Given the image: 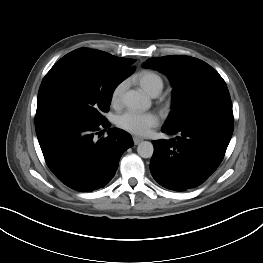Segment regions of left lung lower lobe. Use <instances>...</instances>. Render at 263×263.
Segmentation results:
<instances>
[{"label":"left lung lower lobe","instance_id":"obj_1","mask_svg":"<svg viewBox=\"0 0 263 263\" xmlns=\"http://www.w3.org/2000/svg\"><path fill=\"white\" fill-rule=\"evenodd\" d=\"M234 127L233 117L211 114L161 131L172 139L153 141L150 171L157 183L175 191L205 182L221 163Z\"/></svg>","mask_w":263,"mask_h":263}]
</instances>
